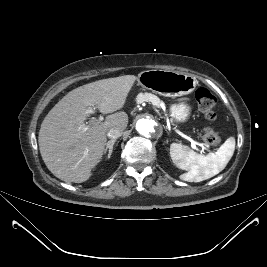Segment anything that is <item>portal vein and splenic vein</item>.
<instances>
[{
  "label": "portal vein and splenic vein",
  "instance_id": "18ae733b",
  "mask_svg": "<svg viewBox=\"0 0 267 267\" xmlns=\"http://www.w3.org/2000/svg\"><path fill=\"white\" fill-rule=\"evenodd\" d=\"M95 109L96 108H88L87 109V113H94L95 112ZM82 128H83V130H87L88 129V126L87 125H85V124H83L82 125ZM183 137L185 138V139H187L188 141H190V143H191V147L193 148V149H196V146L197 145H200L199 143H197V142H195L194 140H192L191 138H189V137H187V136H185V135H183ZM203 147V146H202Z\"/></svg>",
  "mask_w": 267,
  "mask_h": 267
}]
</instances>
